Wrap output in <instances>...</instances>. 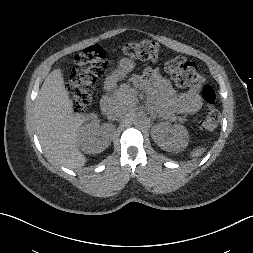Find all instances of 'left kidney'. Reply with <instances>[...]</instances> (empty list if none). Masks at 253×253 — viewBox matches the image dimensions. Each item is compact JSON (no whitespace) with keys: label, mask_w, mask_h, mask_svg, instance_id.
<instances>
[{"label":"left kidney","mask_w":253,"mask_h":253,"mask_svg":"<svg viewBox=\"0 0 253 253\" xmlns=\"http://www.w3.org/2000/svg\"><path fill=\"white\" fill-rule=\"evenodd\" d=\"M152 138L163 150L180 152L188 146L189 135L183 125H170L168 122L157 124L152 131Z\"/></svg>","instance_id":"left-kidney-1"}]
</instances>
